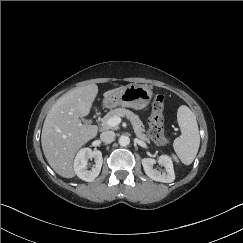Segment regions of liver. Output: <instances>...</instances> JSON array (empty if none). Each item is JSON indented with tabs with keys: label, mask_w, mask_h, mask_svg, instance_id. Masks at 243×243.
<instances>
[{
	"label": "liver",
	"mask_w": 243,
	"mask_h": 243,
	"mask_svg": "<svg viewBox=\"0 0 243 243\" xmlns=\"http://www.w3.org/2000/svg\"><path fill=\"white\" fill-rule=\"evenodd\" d=\"M124 86L109 90L105 98ZM98 86L73 88L62 95L49 110L42 128L41 144L48 164L60 176H75L73 161L77 151L98 133L96 125L82 124L80 118L90 113Z\"/></svg>",
	"instance_id": "liver-1"
}]
</instances>
